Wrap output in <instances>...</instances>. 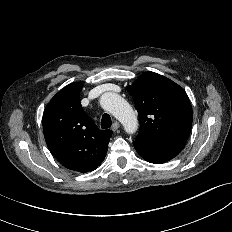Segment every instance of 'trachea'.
Listing matches in <instances>:
<instances>
[{
    "instance_id": "3493384b",
    "label": "trachea",
    "mask_w": 232,
    "mask_h": 232,
    "mask_svg": "<svg viewBox=\"0 0 232 232\" xmlns=\"http://www.w3.org/2000/svg\"><path fill=\"white\" fill-rule=\"evenodd\" d=\"M111 125H112V122H111L110 115L107 113L103 114L102 119H101V128L107 129V128H110Z\"/></svg>"
}]
</instances>
